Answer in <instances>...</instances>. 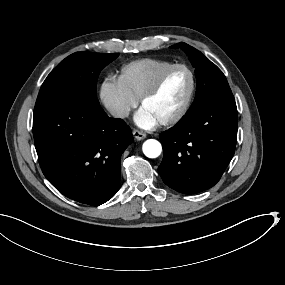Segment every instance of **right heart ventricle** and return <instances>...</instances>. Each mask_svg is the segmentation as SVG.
Instances as JSON below:
<instances>
[{
  "mask_svg": "<svg viewBox=\"0 0 285 285\" xmlns=\"http://www.w3.org/2000/svg\"><path fill=\"white\" fill-rule=\"evenodd\" d=\"M134 78L132 93L139 98L145 91L151 88L161 75L172 68L167 62L157 59L146 58L133 64Z\"/></svg>",
  "mask_w": 285,
  "mask_h": 285,
  "instance_id": "e07e8e85",
  "label": "right heart ventricle"
}]
</instances>
